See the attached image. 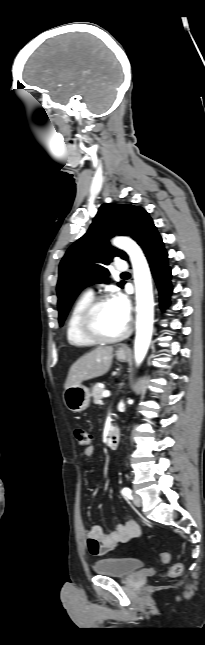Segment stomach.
<instances>
[{"mask_svg":"<svg viewBox=\"0 0 205 645\" xmlns=\"http://www.w3.org/2000/svg\"><path fill=\"white\" fill-rule=\"evenodd\" d=\"M116 356L122 362L127 359V354L120 350L117 351ZM90 398V390L82 384L70 386L63 393L64 404L73 412L86 410L89 407Z\"/></svg>","mask_w":205,"mask_h":645,"instance_id":"stomach-1","label":"stomach"}]
</instances>
